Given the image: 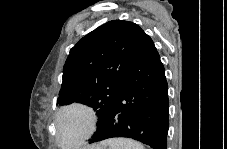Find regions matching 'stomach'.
Instances as JSON below:
<instances>
[{"mask_svg": "<svg viewBox=\"0 0 227 149\" xmlns=\"http://www.w3.org/2000/svg\"><path fill=\"white\" fill-rule=\"evenodd\" d=\"M89 149H102V147H99V148H97V147L92 148V147H91V148H89Z\"/></svg>", "mask_w": 227, "mask_h": 149, "instance_id": "obj_1", "label": "stomach"}]
</instances>
